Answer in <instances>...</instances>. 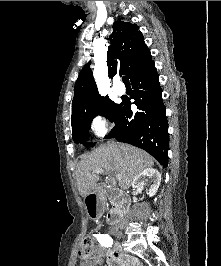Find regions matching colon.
I'll use <instances>...</instances> for the list:
<instances>
[{"label":"colon","mask_w":221,"mask_h":266,"mask_svg":"<svg viewBox=\"0 0 221 266\" xmlns=\"http://www.w3.org/2000/svg\"><path fill=\"white\" fill-rule=\"evenodd\" d=\"M78 254L82 261H92L96 258V248L91 236L85 235L83 237Z\"/></svg>","instance_id":"1"}]
</instances>
